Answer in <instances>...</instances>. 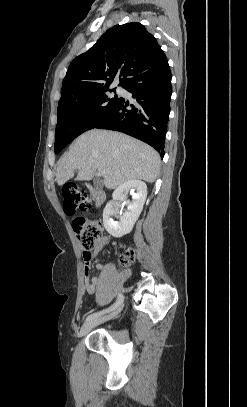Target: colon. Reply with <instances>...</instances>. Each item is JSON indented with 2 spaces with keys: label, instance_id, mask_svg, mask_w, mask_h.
<instances>
[{
  "label": "colon",
  "instance_id": "1",
  "mask_svg": "<svg viewBox=\"0 0 247 407\" xmlns=\"http://www.w3.org/2000/svg\"><path fill=\"white\" fill-rule=\"evenodd\" d=\"M61 194L63 209L67 215H74L77 211H86L91 207L89 196L76 184L64 185ZM72 226L83 250V255L89 256L102 236V224L98 221L77 217L73 219ZM134 256L135 251L130 249L121 256L120 263L126 266L133 260Z\"/></svg>",
  "mask_w": 247,
  "mask_h": 407
}]
</instances>
